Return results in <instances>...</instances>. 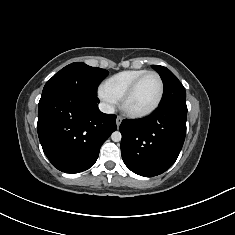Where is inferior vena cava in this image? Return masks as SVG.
<instances>
[{"label":"inferior vena cava","mask_w":235,"mask_h":235,"mask_svg":"<svg viewBox=\"0 0 235 235\" xmlns=\"http://www.w3.org/2000/svg\"><path fill=\"white\" fill-rule=\"evenodd\" d=\"M99 109L103 113L111 114L114 113L115 109L112 105H109L107 103H100L99 104Z\"/></svg>","instance_id":"602c4592"}]
</instances>
